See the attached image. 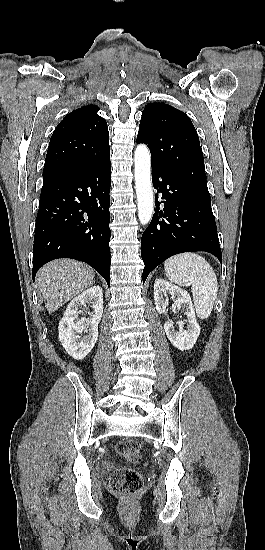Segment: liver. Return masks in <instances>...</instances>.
Listing matches in <instances>:
<instances>
[{"label": "liver", "mask_w": 265, "mask_h": 550, "mask_svg": "<svg viewBox=\"0 0 265 550\" xmlns=\"http://www.w3.org/2000/svg\"><path fill=\"white\" fill-rule=\"evenodd\" d=\"M94 270L71 259H57L37 274V285L49 313L55 312L94 283Z\"/></svg>", "instance_id": "obj_1"}]
</instances>
